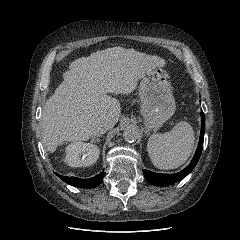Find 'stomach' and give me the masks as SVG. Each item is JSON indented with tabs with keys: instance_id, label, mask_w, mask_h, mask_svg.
Here are the masks:
<instances>
[{
	"instance_id": "obj_1",
	"label": "stomach",
	"mask_w": 240,
	"mask_h": 240,
	"mask_svg": "<svg viewBox=\"0 0 240 240\" xmlns=\"http://www.w3.org/2000/svg\"><path fill=\"white\" fill-rule=\"evenodd\" d=\"M140 113L147 129L161 127L175 112L176 104L165 71H147L140 82Z\"/></svg>"
}]
</instances>
